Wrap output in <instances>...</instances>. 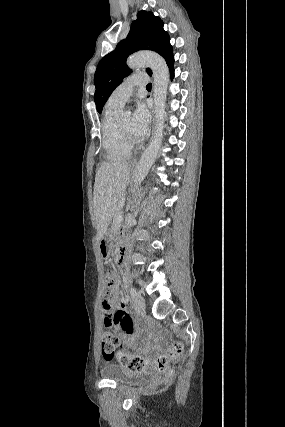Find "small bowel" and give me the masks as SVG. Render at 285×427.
<instances>
[{
	"mask_svg": "<svg viewBox=\"0 0 285 427\" xmlns=\"http://www.w3.org/2000/svg\"><path fill=\"white\" fill-rule=\"evenodd\" d=\"M101 309L105 327L111 328L115 323H118L129 336H132V331L129 329L130 318L125 311V304L120 298L117 286L113 288L111 297L102 301ZM129 342L130 337L126 339L125 343L128 344Z\"/></svg>",
	"mask_w": 285,
	"mask_h": 427,
	"instance_id": "1",
	"label": "small bowel"
}]
</instances>
